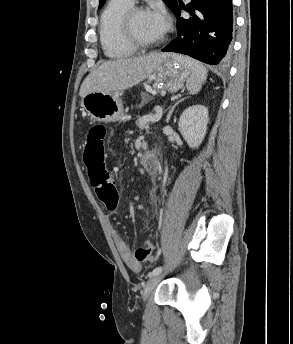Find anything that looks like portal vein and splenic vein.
Listing matches in <instances>:
<instances>
[{
    "mask_svg": "<svg viewBox=\"0 0 293 344\" xmlns=\"http://www.w3.org/2000/svg\"><path fill=\"white\" fill-rule=\"evenodd\" d=\"M151 120H152V121H156V119H154V118H152Z\"/></svg>",
    "mask_w": 293,
    "mask_h": 344,
    "instance_id": "1",
    "label": "portal vein and splenic vein"
}]
</instances>
